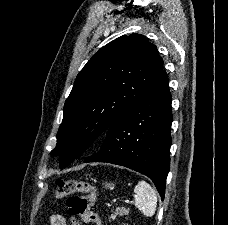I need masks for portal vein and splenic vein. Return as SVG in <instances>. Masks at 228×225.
Here are the masks:
<instances>
[{
  "label": "portal vein and splenic vein",
  "instance_id": "1",
  "mask_svg": "<svg viewBox=\"0 0 228 225\" xmlns=\"http://www.w3.org/2000/svg\"><path fill=\"white\" fill-rule=\"evenodd\" d=\"M136 198V197H134ZM116 202H120V197H114L113 200H111V202H106L105 206L106 207H112V205H116ZM125 205H132V200H125L124 201Z\"/></svg>",
  "mask_w": 228,
  "mask_h": 225
}]
</instances>
